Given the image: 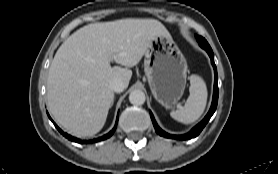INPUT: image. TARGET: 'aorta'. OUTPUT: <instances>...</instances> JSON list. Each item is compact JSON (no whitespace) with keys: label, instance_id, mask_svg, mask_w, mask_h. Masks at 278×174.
Instances as JSON below:
<instances>
[{"label":"aorta","instance_id":"aorta-1","mask_svg":"<svg viewBox=\"0 0 278 174\" xmlns=\"http://www.w3.org/2000/svg\"><path fill=\"white\" fill-rule=\"evenodd\" d=\"M145 93L141 90H133L130 94H129V101L131 104L133 105H142L145 102Z\"/></svg>","mask_w":278,"mask_h":174}]
</instances>
